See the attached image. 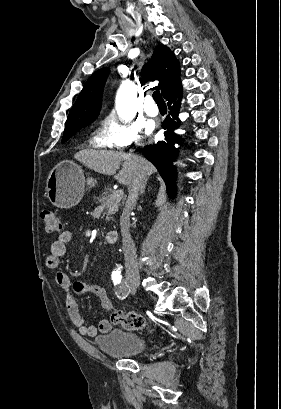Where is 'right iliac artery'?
I'll use <instances>...</instances> for the list:
<instances>
[{
    "label": "right iliac artery",
    "instance_id": "right-iliac-artery-1",
    "mask_svg": "<svg viewBox=\"0 0 281 409\" xmlns=\"http://www.w3.org/2000/svg\"><path fill=\"white\" fill-rule=\"evenodd\" d=\"M112 280H113L114 285L115 286L117 285L116 292H115L116 296L119 299H125L128 296L129 292H128L127 286H124L122 284L120 285L122 281V277L120 275H113Z\"/></svg>",
    "mask_w": 281,
    "mask_h": 409
}]
</instances>
